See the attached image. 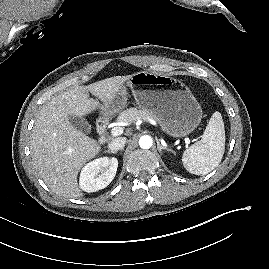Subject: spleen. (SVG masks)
Instances as JSON below:
<instances>
[{
    "label": "spleen",
    "instance_id": "3e777b00",
    "mask_svg": "<svg viewBox=\"0 0 269 269\" xmlns=\"http://www.w3.org/2000/svg\"><path fill=\"white\" fill-rule=\"evenodd\" d=\"M225 151V129L220 112H214L200 141L186 149L182 162L195 175H206L221 162Z\"/></svg>",
    "mask_w": 269,
    "mask_h": 269
}]
</instances>
